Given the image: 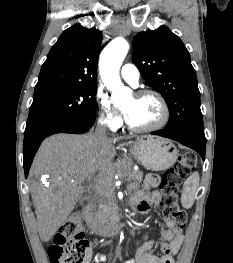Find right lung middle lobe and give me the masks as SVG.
<instances>
[{
  "instance_id": "obj_1",
  "label": "right lung middle lobe",
  "mask_w": 233,
  "mask_h": 263,
  "mask_svg": "<svg viewBox=\"0 0 233 263\" xmlns=\"http://www.w3.org/2000/svg\"><path fill=\"white\" fill-rule=\"evenodd\" d=\"M96 91L97 85H79L34 95L25 132L54 121L94 114Z\"/></svg>"
}]
</instances>
